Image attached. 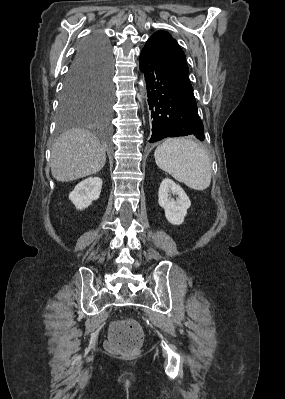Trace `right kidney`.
I'll return each instance as SVG.
<instances>
[{
  "instance_id": "obj_1",
  "label": "right kidney",
  "mask_w": 285,
  "mask_h": 399,
  "mask_svg": "<svg viewBox=\"0 0 285 399\" xmlns=\"http://www.w3.org/2000/svg\"><path fill=\"white\" fill-rule=\"evenodd\" d=\"M101 188L102 179L99 177L87 178L75 186L74 190L69 194V199L76 209L83 210L99 198Z\"/></svg>"
}]
</instances>
